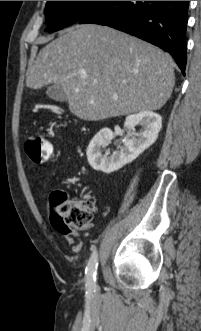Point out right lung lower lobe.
Segmentation results:
<instances>
[{
    "mask_svg": "<svg viewBox=\"0 0 201 331\" xmlns=\"http://www.w3.org/2000/svg\"><path fill=\"white\" fill-rule=\"evenodd\" d=\"M189 1H105L78 23H94L124 31L169 52L182 73L186 66Z\"/></svg>",
    "mask_w": 201,
    "mask_h": 331,
    "instance_id": "right-lung-lower-lobe-1",
    "label": "right lung lower lobe"
}]
</instances>
